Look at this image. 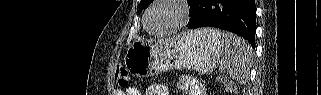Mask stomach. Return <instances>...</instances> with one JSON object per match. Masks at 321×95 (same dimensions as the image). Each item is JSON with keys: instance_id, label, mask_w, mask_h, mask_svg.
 <instances>
[{"instance_id": "stomach-1", "label": "stomach", "mask_w": 321, "mask_h": 95, "mask_svg": "<svg viewBox=\"0 0 321 95\" xmlns=\"http://www.w3.org/2000/svg\"><path fill=\"white\" fill-rule=\"evenodd\" d=\"M222 43L201 30L167 41L135 40L127 48L124 64L136 76H151L169 69L212 72L222 54Z\"/></svg>"}]
</instances>
